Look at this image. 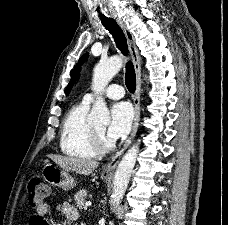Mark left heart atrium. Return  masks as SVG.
Returning <instances> with one entry per match:
<instances>
[{"label":"left heart atrium","mask_w":228,"mask_h":225,"mask_svg":"<svg viewBox=\"0 0 228 225\" xmlns=\"http://www.w3.org/2000/svg\"><path fill=\"white\" fill-rule=\"evenodd\" d=\"M133 110L128 102H118L111 108L108 137L117 139L126 136L133 122Z\"/></svg>","instance_id":"left-heart-atrium-1"}]
</instances>
